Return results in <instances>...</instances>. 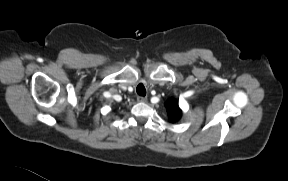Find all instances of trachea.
I'll use <instances>...</instances> for the list:
<instances>
[{
	"label": "trachea",
	"mask_w": 288,
	"mask_h": 181,
	"mask_svg": "<svg viewBox=\"0 0 288 181\" xmlns=\"http://www.w3.org/2000/svg\"><path fill=\"white\" fill-rule=\"evenodd\" d=\"M136 91H137L138 95H140V96L144 97L146 95V89H145L144 85L141 83L137 86Z\"/></svg>",
	"instance_id": "obj_1"
}]
</instances>
